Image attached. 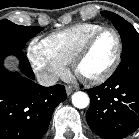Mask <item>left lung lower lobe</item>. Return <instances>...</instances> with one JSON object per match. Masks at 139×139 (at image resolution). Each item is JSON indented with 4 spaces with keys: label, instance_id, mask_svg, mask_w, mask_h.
Returning a JSON list of instances; mask_svg holds the SVG:
<instances>
[{
    "label": "left lung lower lobe",
    "instance_id": "1",
    "mask_svg": "<svg viewBox=\"0 0 139 139\" xmlns=\"http://www.w3.org/2000/svg\"><path fill=\"white\" fill-rule=\"evenodd\" d=\"M88 125L104 139H123L139 128V48L122 56L113 75L87 90Z\"/></svg>",
    "mask_w": 139,
    "mask_h": 139
}]
</instances>
